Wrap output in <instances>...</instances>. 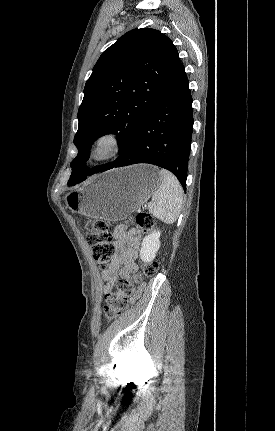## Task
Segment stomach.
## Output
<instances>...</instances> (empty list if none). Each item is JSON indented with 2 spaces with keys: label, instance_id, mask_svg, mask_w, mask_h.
<instances>
[{
  "label": "stomach",
  "instance_id": "obj_1",
  "mask_svg": "<svg viewBox=\"0 0 275 431\" xmlns=\"http://www.w3.org/2000/svg\"><path fill=\"white\" fill-rule=\"evenodd\" d=\"M160 183L157 167L138 164L104 172L87 186L66 194L64 199L73 213L118 221L145 204Z\"/></svg>",
  "mask_w": 275,
  "mask_h": 431
}]
</instances>
